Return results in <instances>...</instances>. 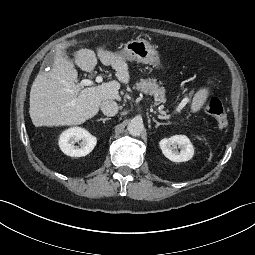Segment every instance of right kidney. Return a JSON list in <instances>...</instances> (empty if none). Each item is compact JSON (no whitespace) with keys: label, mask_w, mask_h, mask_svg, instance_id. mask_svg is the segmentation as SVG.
Masks as SVG:
<instances>
[{"label":"right kidney","mask_w":255,"mask_h":255,"mask_svg":"<svg viewBox=\"0 0 255 255\" xmlns=\"http://www.w3.org/2000/svg\"><path fill=\"white\" fill-rule=\"evenodd\" d=\"M78 142V146L74 144ZM96 137L81 127L69 128L62 132L59 147L63 153L71 157H82L89 154L96 145Z\"/></svg>","instance_id":"ca27d5eb"}]
</instances>
